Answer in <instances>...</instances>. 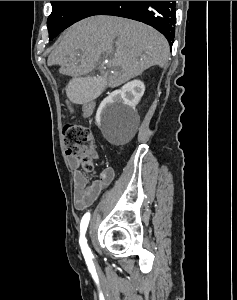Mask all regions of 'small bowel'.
Masks as SVG:
<instances>
[{
	"label": "small bowel",
	"mask_w": 237,
	"mask_h": 300,
	"mask_svg": "<svg viewBox=\"0 0 237 300\" xmlns=\"http://www.w3.org/2000/svg\"><path fill=\"white\" fill-rule=\"evenodd\" d=\"M95 104L88 101L82 104V111L85 116L93 113ZM87 156L91 159L98 157V152L94 146L87 151ZM69 165L73 170L74 192L73 200L76 210H85L91 206L100 194L113 182L115 171L112 167L103 168L97 175L96 179L89 182L86 175L80 170V160L77 156L68 158Z\"/></svg>",
	"instance_id": "1"
}]
</instances>
